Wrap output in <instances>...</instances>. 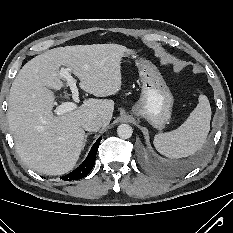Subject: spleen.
Listing matches in <instances>:
<instances>
[{"label": "spleen", "instance_id": "1", "mask_svg": "<svg viewBox=\"0 0 233 233\" xmlns=\"http://www.w3.org/2000/svg\"><path fill=\"white\" fill-rule=\"evenodd\" d=\"M211 107L201 94L199 103L187 120L176 130L159 133L154 137L158 152L169 158H183L194 154L205 142L210 130Z\"/></svg>", "mask_w": 233, "mask_h": 233}]
</instances>
